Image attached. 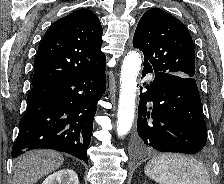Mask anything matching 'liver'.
Returning <instances> with one entry per match:
<instances>
[{
  "label": "liver",
  "instance_id": "liver-1",
  "mask_svg": "<svg viewBox=\"0 0 224 184\" xmlns=\"http://www.w3.org/2000/svg\"><path fill=\"white\" fill-rule=\"evenodd\" d=\"M63 155L53 150H34L21 155L13 167V184H35L44 176L59 169Z\"/></svg>",
  "mask_w": 224,
  "mask_h": 184
}]
</instances>
